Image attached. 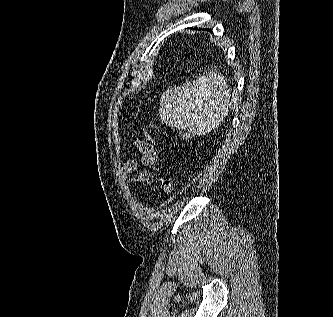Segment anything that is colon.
I'll list each match as a JSON object with an SVG mask.
<instances>
[{
	"label": "colon",
	"instance_id": "5ec220e1",
	"mask_svg": "<svg viewBox=\"0 0 333 317\" xmlns=\"http://www.w3.org/2000/svg\"><path fill=\"white\" fill-rule=\"evenodd\" d=\"M194 133L191 129H184L180 132V137L183 140H190ZM156 182L160 186L161 191L165 195H169L173 192L174 186L172 180L164 175L158 174L155 177Z\"/></svg>",
	"mask_w": 333,
	"mask_h": 317
}]
</instances>
